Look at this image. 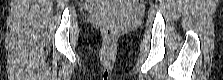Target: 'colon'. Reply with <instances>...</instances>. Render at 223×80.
<instances>
[{
	"mask_svg": "<svg viewBox=\"0 0 223 80\" xmlns=\"http://www.w3.org/2000/svg\"><path fill=\"white\" fill-rule=\"evenodd\" d=\"M131 2L134 5H139V4H141L142 1L141 0H132ZM103 32L107 37L111 38L117 33V30L113 26L105 25L103 27Z\"/></svg>",
	"mask_w": 223,
	"mask_h": 80,
	"instance_id": "colon-1",
	"label": "colon"
}]
</instances>
